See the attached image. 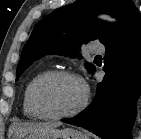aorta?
I'll return each instance as SVG.
<instances>
[{
	"mask_svg": "<svg viewBox=\"0 0 141 139\" xmlns=\"http://www.w3.org/2000/svg\"><path fill=\"white\" fill-rule=\"evenodd\" d=\"M100 18H101V19H104V20H107V21H109V22H115V19L112 18V17L109 16V15H101Z\"/></svg>",
	"mask_w": 141,
	"mask_h": 139,
	"instance_id": "aorta-1",
	"label": "aorta"
}]
</instances>
